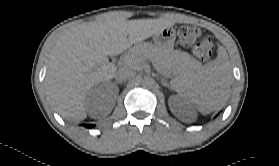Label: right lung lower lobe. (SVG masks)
Returning <instances> with one entry per match:
<instances>
[{"label":"right lung lower lobe","mask_w":279,"mask_h":166,"mask_svg":"<svg viewBox=\"0 0 279 166\" xmlns=\"http://www.w3.org/2000/svg\"><path fill=\"white\" fill-rule=\"evenodd\" d=\"M93 125H87L86 127H92Z\"/></svg>","instance_id":"right-lung-lower-lobe-1"}]
</instances>
